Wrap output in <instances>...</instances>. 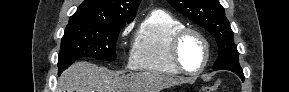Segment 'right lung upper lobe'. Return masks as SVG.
Masks as SVG:
<instances>
[{
	"instance_id": "1",
	"label": "right lung upper lobe",
	"mask_w": 289,
	"mask_h": 92,
	"mask_svg": "<svg viewBox=\"0 0 289 92\" xmlns=\"http://www.w3.org/2000/svg\"><path fill=\"white\" fill-rule=\"evenodd\" d=\"M141 0H84L70 23L127 24L137 12Z\"/></svg>"
}]
</instances>
